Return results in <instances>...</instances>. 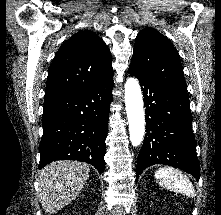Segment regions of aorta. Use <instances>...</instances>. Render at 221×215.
Returning <instances> with one entry per match:
<instances>
[{"instance_id": "aorta-1", "label": "aorta", "mask_w": 221, "mask_h": 215, "mask_svg": "<svg viewBox=\"0 0 221 215\" xmlns=\"http://www.w3.org/2000/svg\"><path fill=\"white\" fill-rule=\"evenodd\" d=\"M124 88L130 141L136 147L141 144L145 135L142 93L138 81L133 77L127 79Z\"/></svg>"}]
</instances>
